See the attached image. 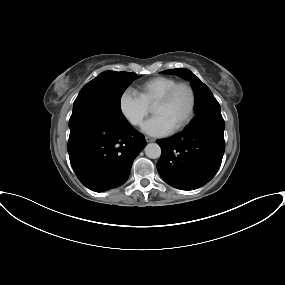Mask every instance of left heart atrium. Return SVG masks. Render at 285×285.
<instances>
[{
	"mask_svg": "<svg viewBox=\"0 0 285 285\" xmlns=\"http://www.w3.org/2000/svg\"><path fill=\"white\" fill-rule=\"evenodd\" d=\"M142 130L148 135L160 137L170 134L172 127L161 116H154L143 124Z\"/></svg>",
	"mask_w": 285,
	"mask_h": 285,
	"instance_id": "obj_1",
	"label": "left heart atrium"
}]
</instances>
